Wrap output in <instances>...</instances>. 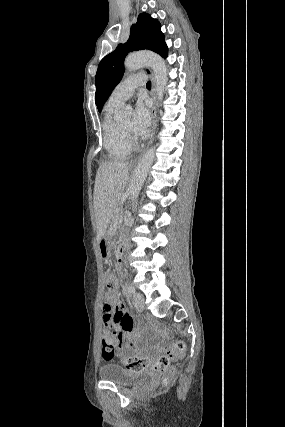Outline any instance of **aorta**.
<instances>
[{
    "mask_svg": "<svg viewBox=\"0 0 285 427\" xmlns=\"http://www.w3.org/2000/svg\"><path fill=\"white\" fill-rule=\"evenodd\" d=\"M125 69L128 72L138 70L142 67L148 66L154 72L156 93L158 101H162L164 97L165 87L168 81L167 67L162 57L153 52H136L127 56L124 62ZM132 114V107L127 105L124 108L123 115L129 116ZM155 158V147H151L146 151L138 162L131 184L129 186V195L132 201L138 197L143 183L147 177L149 169Z\"/></svg>",
    "mask_w": 285,
    "mask_h": 427,
    "instance_id": "762f6f07",
    "label": "aorta"
}]
</instances>
